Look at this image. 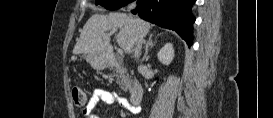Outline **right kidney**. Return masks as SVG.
<instances>
[{
	"label": "right kidney",
	"mask_w": 273,
	"mask_h": 118,
	"mask_svg": "<svg viewBox=\"0 0 273 118\" xmlns=\"http://www.w3.org/2000/svg\"><path fill=\"white\" fill-rule=\"evenodd\" d=\"M159 61L164 65H169L174 58V49L171 43H167L157 54Z\"/></svg>",
	"instance_id": "ca27d5eb"
}]
</instances>
